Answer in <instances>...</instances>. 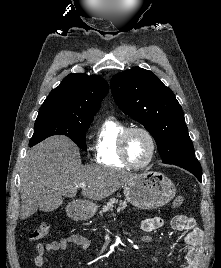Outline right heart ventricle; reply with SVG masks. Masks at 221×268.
Masks as SVG:
<instances>
[{
	"mask_svg": "<svg viewBox=\"0 0 221 268\" xmlns=\"http://www.w3.org/2000/svg\"><path fill=\"white\" fill-rule=\"evenodd\" d=\"M125 128L124 123L113 117L102 123L94 146L95 161L98 164L119 169L127 167L118 151L119 137Z\"/></svg>",
	"mask_w": 221,
	"mask_h": 268,
	"instance_id": "obj_1",
	"label": "right heart ventricle"
}]
</instances>
